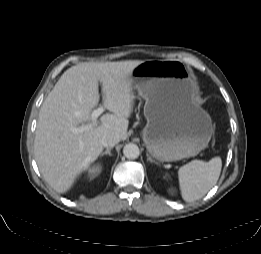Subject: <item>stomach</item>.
<instances>
[{"instance_id":"0dacf381","label":"stomach","mask_w":261,"mask_h":254,"mask_svg":"<svg viewBox=\"0 0 261 254\" xmlns=\"http://www.w3.org/2000/svg\"><path fill=\"white\" fill-rule=\"evenodd\" d=\"M131 87L145 101L142 136L148 152L161 162L196 156L209 143V114L195 103L197 86L178 60H148L132 72Z\"/></svg>"}]
</instances>
